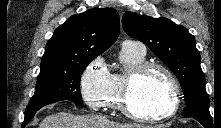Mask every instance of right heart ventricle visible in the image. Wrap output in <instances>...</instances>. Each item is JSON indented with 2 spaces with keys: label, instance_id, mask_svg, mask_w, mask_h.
<instances>
[{
  "label": "right heart ventricle",
  "instance_id": "e07e8e85",
  "mask_svg": "<svg viewBox=\"0 0 221 128\" xmlns=\"http://www.w3.org/2000/svg\"><path fill=\"white\" fill-rule=\"evenodd\" d=\"M119 61L124 72H110V84L103 98V108L106 111H121L122 88L126 75L131 69L145 62V53L133 47L123 45L119 53Z\"/></svg>",
  "mask_w": 221,
  "mask_h": 128
}]
</instances>
